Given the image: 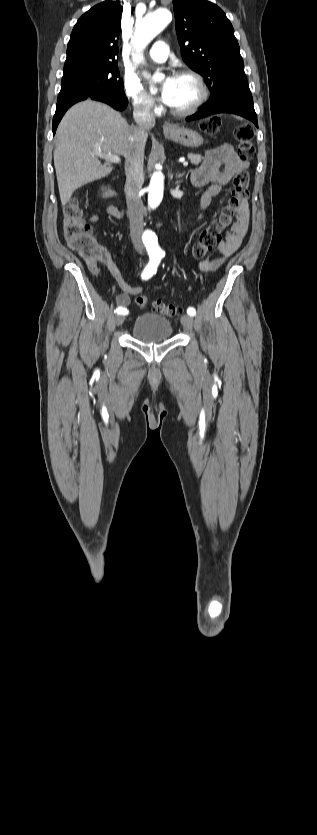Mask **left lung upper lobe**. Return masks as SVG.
Returning <instances> with one entry per match:
<instances>
[{"label": "left lung upper lobe", "mask_w": 317, "mask_h": 835, "mask_svg": "<svg viewBox=\"0 0 317 835\" xmlns=\"http://www.w3.org/2000/svg\"><path fill=\"white\" fill-rule=\"evenodd\" d=\"M181 55L201 74L217 104L234 93L251 94L234 29L225 13L206 0H173Z\"/></svg>", "instance_id": "obj_1"}]
</instances>
